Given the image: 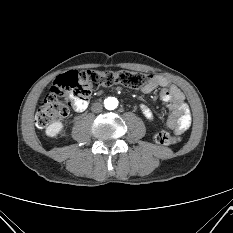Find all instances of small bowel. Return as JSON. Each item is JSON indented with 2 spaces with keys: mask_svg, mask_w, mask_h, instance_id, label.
Masks as SVG:
<instances>
[{
  "mask_svg": "<svg viewBox=\"0 0 233 233\" xmlns=\"http://www.w3.org/2000/svg\"><path fill=\"white\" fill-rule=\"evenodd\" d=\"M156 89H160L158 97L170 110V115L166 122L167 127L176 133H183L189 129L192 123V117L182 91L175 85H172L166 77L161 75L151 76L149 83L141 91L143 93H151ZM88 105V100L78 102L75 110L82 112L87 109ZM140 109L146 119L150 121L155 119L156 112L149 105L141 104Z\"/></svg>",
  "mask_w": 233,
  "mask_h": 233,
  "instance_id": "1",
  "label": "small bowel"
}]
</instances>
